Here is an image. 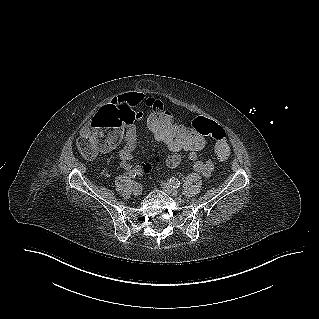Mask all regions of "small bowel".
I'll return each instance as SVG.
<instances>
[{
  "mask_svg": "<svg viewBox=\"0 0 319 319\" xmlns=\"http://www.w3.org/2000/svg\"><path fill=\"white\" fill-rule=\"evenodd\" d=\"M142 102L148 108L149 113H162L163 111V104L156 98H144L141 93L136 92L122 94L115 98L111 104L104 108H99L97 116L91 117L90 127L85 126L80 131L82 137L87 136L90 146L101 153L111 152L123 142L118 151V156L121 168L126 171H132L130 160L132 152L137 146L135 125L138 120H146L137 107ZM169 114L172 116L170 112ZM195 131L196 135H203L202 131ZM171 152L163 164L166 168H175L182 160V151ZM187 153L188 159L193 162V168L196 172L204 176H210L214 172L215 165L211 159L201 160L199 153ZM133 170L139 173L142 172L140 167H136Z\"/></svg>",
  "mask_w": 319,
  "mask_h": 319,
  "instance_id": "c3829d8e",
  "label": "small bowel"
}]
</instances>
